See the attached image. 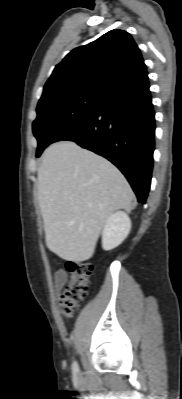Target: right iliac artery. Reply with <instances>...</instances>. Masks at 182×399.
<instances>
[{
	"label": "right iliac artery",
	"mask_w": 182,
	"mask_h": 399,
	"mask_svg": "<svg viewBox=\"0 0 182 399\" xmlns=\"http://www.w3.org/2000/svg\"><path fill=\"white\" fill-rule=\"evenodd\" d=\"M72 370H73L74 373H78L79 372V367H78L77 362L73 363Z\"/></svg>",
	"instance_id": "1"
}]
</instances>
